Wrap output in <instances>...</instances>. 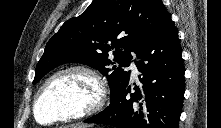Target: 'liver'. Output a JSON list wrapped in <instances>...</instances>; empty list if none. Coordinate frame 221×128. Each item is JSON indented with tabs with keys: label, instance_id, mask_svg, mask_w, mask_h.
<instances>
[{
	"label": "liver",
	"instance_id": "obj_1",
	"mask_svg": "<svg viewBox=\"0 0 221 128\" xmlns=\"http://www.w3.org/2000/svg\"><path fill=\"white\" fill-rule=\"evenodd\" d=\"M72 128H86V126L77 124V125H72Z\"/></svg>",
	"mask_w": 221,
	"mask_h": 128
}]
</instances>
